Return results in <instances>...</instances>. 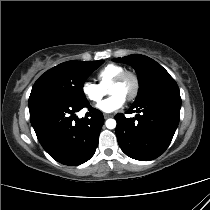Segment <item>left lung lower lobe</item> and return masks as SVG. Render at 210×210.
I'll list each match as a JSON object with an SVG mask.
<instances>
[{
	"instance_id": "obj_1",
	"label": "left lung lower lobe",
	"mask_w": 210,
	"mask_h": 210,
	"mask_svg": "<svg viewBox=\"0 0 210 210\" xmlns=\"http://www.w3.org/2000/svg\"><path fill=\"white\" fill-rule=\"evenodd\" d=\"M180 93H161L132 104L128 114H117L116 135L122 151L129 157L150 161L159 157L169 146L179 123Z\"/></svg>"
}]
</instances>
